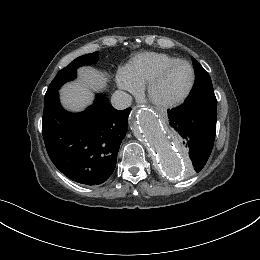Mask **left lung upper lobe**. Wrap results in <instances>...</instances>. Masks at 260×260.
<instances>
[{"instance_id": "1", "label": "left lung upper lobe", "mask_w": 260, "mask_h": 260, "mask_svg": "<svg viewBox=\"0 0 260 260\" xmlns=\"http://www.w3.org/2000/svg\"><path fill=\"white\" fill-rule=\"evenodd\" d=\"M193 65L196 72V83L190 97L186 103H196L201 99H214L216 100L211 78L207 71L198 63L194 58Z\"/></svg>"}]
</instances>
